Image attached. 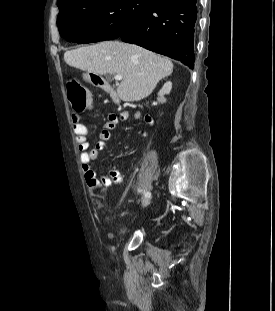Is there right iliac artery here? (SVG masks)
<instances>
[{"mask_svg":"<svg viewBox=\"0 0 275 311\" xmlns=\"http://www.w3.org/2000/svg\"><path fill=\"white\" fill-rule=\"evenodd\" d=\"M140 192H143L145 198H150L151 197V193L148 191H142L141 189H139Z\"/></svg>","mask_w":275,"mask_h":311,"instance_id":"right-iliac-artery-1","label":"right iliac artery"}]
</instances>
